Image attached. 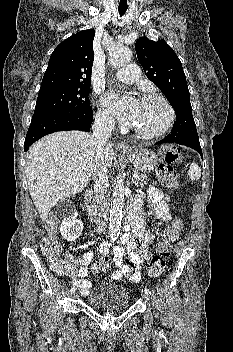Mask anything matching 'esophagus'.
<instances>
[{"instance_id": "obj_1", "label": "esophagus", "mask_w": 233, "mask_h": 352, "mask_svg": "<svg viewBox=\"0 0 233 352\" xmlns=\"http://www.w3.org/2000/svg\"><path fill=\"white\" fill-rule=\"evenodd\" d=\"M117 147L120 148V149H128L129 148V145L127 142L125 141H119L117 143Z\"/></svg>"}]
</instances>
